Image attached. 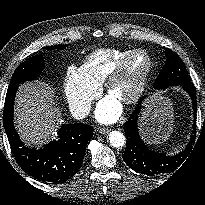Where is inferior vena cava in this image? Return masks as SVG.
Here are the masks:
<instances>
[{"label": "inferior vena cava", "instance_id": "1", "mask_svg": "<svg viewBox=\"0 0 205 205\" xmlns=\"http://www.w3.org/2000/svg\"><path fill=\"white\" fill-rule=\"evenodd\" d=\"M91 110L90 103L84 102L71 107V114L73 118L80 120L85 118Z\"/></svg>", "mask_w": 205, "mask_h": 205}]
</instances>
